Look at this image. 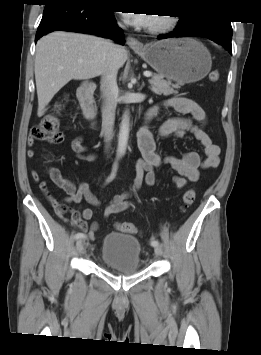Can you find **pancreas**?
Listing matches in <instances>:
<instances>
[{
	"mask_svg": "<svg viewBox=\"0 0 261 355\" xmlns=\"http://www.w3.org/2000/svg\"><path fill=\"white\" fill-rule=\"evenodd\" d=\"M150 89L153 93L157 95H172L177 94L178 92L175 89H179L180 86L178 84H171L170 81H166L160 75H153L151 79H149Z\"/></svg>",
	"mask_w": 261,
	"mask_h": 355,
	"instance_id": "cf45deb5",
	"label": "pancreas"
}]
</instances>
